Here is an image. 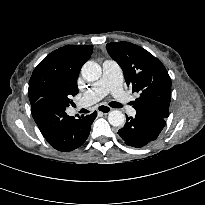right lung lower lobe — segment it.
<instances>
[{
  "instance_id": "obj_1",
  "label": "right lung lower lobe",
  "mask_w": 205,
  "mask_h": 205,
  "mask_svg": "<svg viewBox=\"0 0 205 205\" xmlns=\"http://www.w3.org/2000/svg\"><path fill=\"white\" fill-rule=\"evenodd\" d=\"M66 106L57 96H46L31 105L32 116L42 135L55 149L63 152L80 147L87 139L95 111L80 119L68 116Z\"/></svg>"
}]
</instances>
